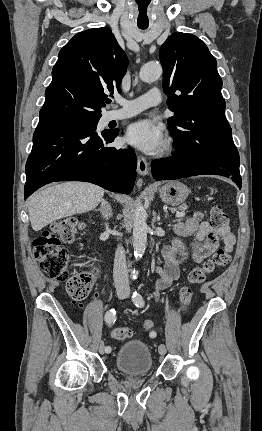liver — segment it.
I'll use <instances>...</instances> for the list:
<instances>
[{
  "label": "liver",
  "instance_id": "1",
  "mask_svg": "<svg viewBox=\"0 0 262 431\" xmlns=\"http://www.w3.org/2000/svg\"><path fill=\"white\" fill-rule=\"evenodd\" d=\"M104 189L85 182H66L33 194L28 211L33 230L39 231L51 222L89 212L98 206Z\"/></svg>",
  "mask_w": 262,
  "mask_h": 431
}]
</instances>
